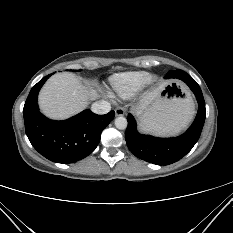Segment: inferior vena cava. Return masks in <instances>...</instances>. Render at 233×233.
Segmentation results:
<instances>
[{"instance_id":"1","label":"inferior vena cava","mask_w":233,"mask_h":233,"mask_svg":"<svg viewBox=\"0 0 233 233\" xmlns=\"http://www.w3.org/2000/svg\"><path fill=\"white\" fill-rule=\"evenodd\" d=\"M92 112L96 114H107L111 110V105L105 100L94 102L91 106Z\"/></svg>"}]
</instances>
